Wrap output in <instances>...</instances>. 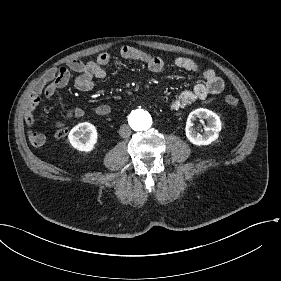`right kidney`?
<instances>
[{
    "mask_svg": "<svg viewBox=\"0 0 281 281\" xmlns=\"http://www.w3.org/2000/svg\"><path fill=\"white\" fill-rule=\"evenodd\" d=\"M98 141V131L89 122H83L71 129V145L80 152L91 153Z\"/></svg>",
    "mask_w": 281,
    "mask_h": 281,
    "instance_id": "ca27d5eb",
    "label": "right kidney"
}]
</instances>
